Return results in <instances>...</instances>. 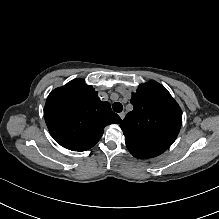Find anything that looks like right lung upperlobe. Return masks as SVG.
Instances as JSON below:
<instances>
[{
	"mask_svg": "<svg viewBox=\"0 0 219 219\" xmlns=\"http://www.w3.org/2000/svg\"><path fill=\"white\" fill-rule=\"evenodd\" d=\"M44 118L52 137L72 151L90 149L105 126L121 123L110 103L100 101L94 88L84 85L82 79H74L49 94Z\"/></svg>",
	"mask_w": 219,
	"mask_h": 219,
	"instance_id": "1",
	"label": "right lung upper lobe"
}]
</instances>
